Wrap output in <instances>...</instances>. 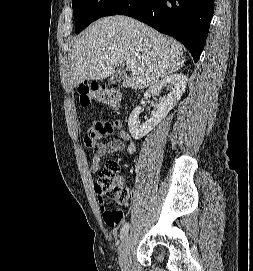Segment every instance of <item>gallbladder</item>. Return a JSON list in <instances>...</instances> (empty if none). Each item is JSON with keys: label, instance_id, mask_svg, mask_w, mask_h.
Segmentation results:
<instances>
[{"label": "gallbladder", "instance_id": "bac80fb5", "mask_svg": "<svg viewBox=\"0 0 253 271\" xmlns=\"http://www.w3.org/2000/svg\"><path fill=\"white\" fill-rule=\"evenodd\" d=\"M126 71L119 69L118 71H116L115 74L112 75V77L109 79L108 81V85H112L114 83H119L121 82L125 77H126Z\"/></svg>", "mask_w": 253, "mask_h": 271}]
</instances>
